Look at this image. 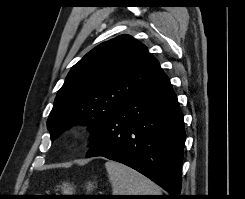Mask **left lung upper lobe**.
<instances>
[{
  "mask_svg": "<svg viewBox=\"0 0 245 199\" xmlns=\"http://www.w3.org/2000/svg\"><path fill=\"white\" fill-rule=\"evenodd\" d=\"M159 68L147 48L131 36L98 45L72 67L57 93L47 121L51 140L81 123L92 133V147L109 116L139 93Z\"/></svg>",
  "mask_w": 245,
  "mask_h": 199,
  "instance_id": "obj_1",
  "label": "left lung upper lobe"
}]
</instances>
